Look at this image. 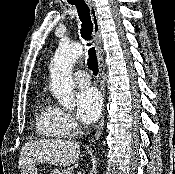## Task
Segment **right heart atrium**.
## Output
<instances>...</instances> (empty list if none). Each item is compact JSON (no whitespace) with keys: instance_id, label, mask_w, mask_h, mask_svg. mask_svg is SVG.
Wrapping results in <instances>:
<instances>
[{"instance_id":"1","label":"right heart atrium","mask_w":175,"mask_h":174,"mask_svg":"<svg viewBox=\"0 0 175 174\" xmlns=\"http://www.w3.org/2000/svg\"><path fill=\"white\" fill-rule=\"evenodd\" d=\"M58 109V117H59V123L66 135H73L76 133L79 129L78 122L75 118V116L65 110Z\"/></svg>"}]
</instances>
